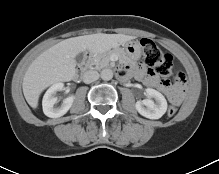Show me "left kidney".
Here are the masks:
<instances>
[{"label": "left kidney", "instance_id": "obj_1", "mask_svg": "<svg viewBox=\"0 0 219 174\" xmlns=\"http://www.w3.org/2000/svg\"><path fill=\"white\" fill-rule=\"evenodd\" d=\"M147 99L136 102V110L144 117L149 119L161 118L167 110V101L165 97L155 89H146ZM155 99V102L151 100Z\"/></svg>", "mask_w": 219, "mask_h": 174}]
</instances>
